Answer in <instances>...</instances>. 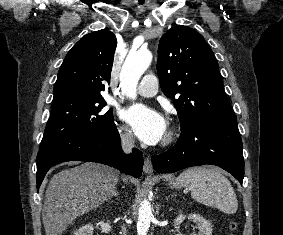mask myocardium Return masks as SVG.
I'll list each match as a JSON object with an SVG mask.
<instances>
[{"label": "myocardium", "mask_w": 283, "mask_h": 235, "mask_svg": "<svg viewBox=\"0 0 283 235\" xmlns=\"http://www.w3.org/2000/svg\"><path fill=\"white\" fill-rule=\"evenodd\" d=\"M174 136H175V131L174 130L169 131L164 137L162 144L164 146L170 144L173 141Z\"/></svg>", "instance_id": "obj_1"}]
</instances>
